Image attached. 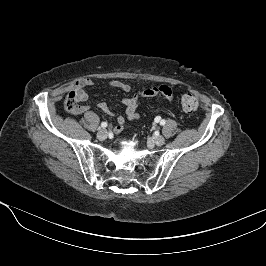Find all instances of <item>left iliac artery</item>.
<instances>
[{"mask_svg":"<svg viewBox=\"0 0 266 266\" xmlns=\"http://www.w3.org/2000/svg\"><path fill=\"white\" fill-rule=\"evenodd\" d=\"M166 121L163 119L160 121V125H165Z\"/></svg>","mask_w":266,"mask_h":266,"instance_id":"left-iliac-artery-1","label":"left iliac artery"}]
</instances>
